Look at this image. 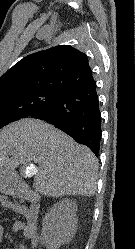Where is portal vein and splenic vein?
Wrapping results in <instances>:
<instances>
[{"mask_svg":"<svg viewBox=\"0 0 135 249\" xmlns=\"http://www.w3.org/2000/svg\"><path fill=\"white\" fill-rule=\"evenodd\" d=\"M28 172L30 175H33L37 172V168L36 166H34L33 164H30L29 167H28Z\"/></svg>","mask_w":135,"mask_h":249,"instance_id":"portal-vein-and-splenic-vein-1","label":"portal vein and splenic vein"}]
</instances>
